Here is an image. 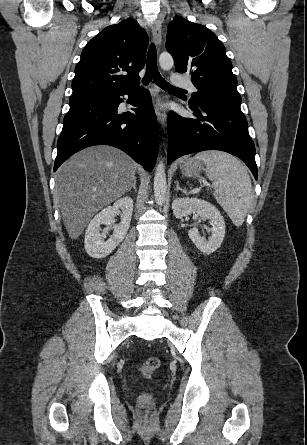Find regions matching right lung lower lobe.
I'll return each mask as SVG.
<instances>
[{"mask_svg":"<svg viewBox=\"0 0 307 445\" xmlns=\"http://www.w3.org/2000/svg\"><path fill=\"white\" fill-rule=\"evenodd\" d=\"M129 95L133 112L117 114L120 96ZM58 139L54 171L74 153L93 145L117 147L151 171L158 153V125L147 90L137 85L69 102Z\"/></svg>","mask_w":307,"mask_h":445,"instance_id":"obj_1","label":"right lung lower lobe"}]
</instances>
